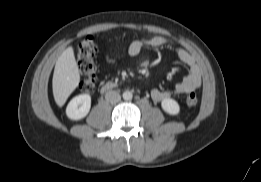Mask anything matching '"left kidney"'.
Listing matches in <instances>:
<instances>
[{"label": "left kidney", "mask_w": 261, "mask_h": 182, "mask_svg": "<svg viewBox=\"0 0 261 182\" xmlns=\"http://www.w3.org/2000/svg\"><path fill=\"white\" fill-rule=\"evenodd\" d=\"M162 109L169 115H178L180 112L179 104L171 98H165L161 102Z\"/></svg>", "instance_id": "5707ae66"}]
</instances>
